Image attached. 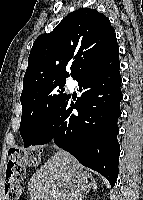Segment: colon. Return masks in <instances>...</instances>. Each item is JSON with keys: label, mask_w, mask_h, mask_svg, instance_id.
<instances>
[{"label": "colon", "mask_w": 143, "mask_h": 200, "mask_svg": "<svg viewBox=\"0 0 143 200\" xmlns=\"http://www.w3.org/2000/svg\"><path fill=\"white\" fill-rule=\"evenodd\" d=\"M41 151L38 149H14L9 152L6 165L4 200H19L20 182L24 179L27 166L39 163Z\"/></svg>", "instance_id": "5ec220e1"}]
</instances>
